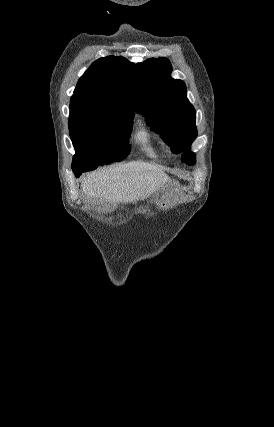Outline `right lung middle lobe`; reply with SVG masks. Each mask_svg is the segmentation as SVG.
I'll return each mask as SVG.
<instances>
[{"mask_svg": "<svg viewBox=\"0 0 274 427\" xmlns=\"http://www.w3.org/2000/svg\"><path fill=\"white\" fill-rule=\"evenodd\" d=\"M135 111L99 108L70 111L69 131L75 147L73 167L96 169L124 159Z\"/></svg>", "mask_w": 274, "mask_h": 427, "instance_id": "dd1d6c3e", "label": "right lung middle lobe"}]
</instances>
